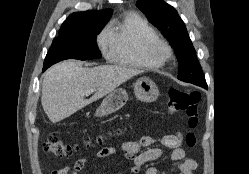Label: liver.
Instances as JSON below:
<instances>
[{
    "mask_svg": "<svg viewBox=\"0 0 249 174\" xmlns=\"http://www.w3.org/2000/svg\"><path fill=\"white\" fill-rule=\"evenodd\" d=\"M141 73V70L117 65L88 68L73 61L56 64L44 75L43 110L52 123L59 122ZM93 92L91 98L85 99Z\"/></svg>",
    "mask_w": 249,
    "mask_h": 174,
    "instance_id": "obj_1",
    "label": "liver"
}]
</instances>
